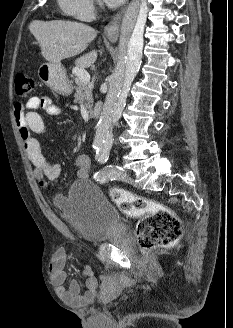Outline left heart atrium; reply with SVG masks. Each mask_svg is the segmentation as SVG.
<instances>
[{
	"mask_svg": "<svg viewBox=\"0 0 233 328\" xmlns=\"http://www.w3.org/2000/svg\"><path fill=\"white\" fill-rule=\"evenodd\" d=\"M109 7H117L123 3L124 0H104Z\"/></svg>",
	"mask_w": 233,
	"mask_h": 328,
	"instance_id": "left-heart-atrium-1",
	"label": "left heart atrium"
}]
</instances>
